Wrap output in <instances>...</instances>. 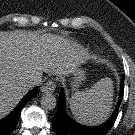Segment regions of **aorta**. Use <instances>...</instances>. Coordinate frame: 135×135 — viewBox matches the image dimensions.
Here are the masks:
<instances>
[{"instance_id": "obj_1", "label": "aorta", "mask_w": 135, "mask_h": 135, "mask_svg": "<svg viewBox=\"0 0 135 135\" xmlns=\"http://www.w3.org/2000/svg\"><path fill=\"white\" fill-rule=\"evenodd\" d=\"M40 104L42 108L52 110L57 105V100L54 95L47 93L41 97Z\"/></svg>"}]
</instances>
